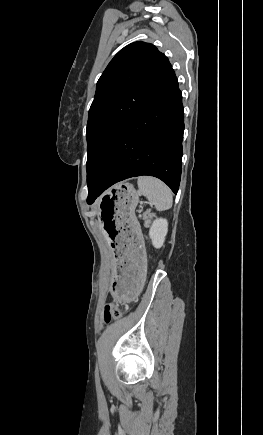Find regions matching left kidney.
Masks as SVG:
<instances>
[{"instance_id":"left-kidney-1","label":"left kidney","mask_w":263,"mask_h":435,"mask_svg":"<svg viewBox=\"0 0 263 435\" xmlns=\"http://www.w3.org/2000/svg\"><path fill=\"white\" fill-rule=\"evenodd\" d=\"M168 232V222L163 218H156L150 226L149 236L155 248H161Z\"/></svg>"}]
</instances>
